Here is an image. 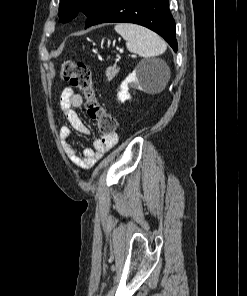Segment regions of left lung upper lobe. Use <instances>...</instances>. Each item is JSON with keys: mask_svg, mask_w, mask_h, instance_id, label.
Listing matches in <instances>:
<instances>
[{"mask_svg": "<svg viewBox=\"0 0 247 296\" xmlns=\"http://www.w3.org/2000/svg\"><path fill=\"white\" fill-rule=\"evenodd\" d=\"M104 0H60L59 20L63 23L75 18L78 12L93 14Z\"/></svg>", "mask_w": 247, "mask_h": 296, "instance_id": "1", "label": "left lung upper lobe"}]
</instances>
